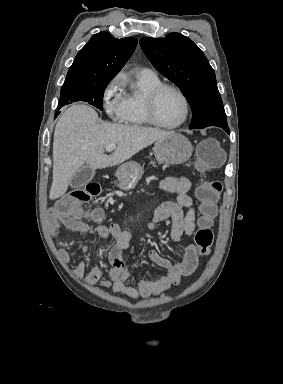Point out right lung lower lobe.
<instances>
[{
    "instance_id": "1",
    "label": "right lung lower lobe",
    "mask_w": 283,
    "mask_h": 384,
    "mask_svg": "<svg viewBox=\"0 0 283 384\" xmlns=\"http://www.w3.org/2000/svg\"><path fill=\"white\" fill-rule=\"evenodd\" d=\"M58 114H59V112H56V113H55V117H56Z\"/></svg>"
}]
</instances>
